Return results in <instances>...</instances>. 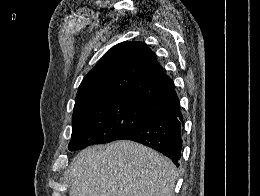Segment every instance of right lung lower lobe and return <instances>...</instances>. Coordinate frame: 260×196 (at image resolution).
Returning a JSON list of instances; mask_svg holds the SVG:
<instances>
[{
  "instance_id": "right-lung-lower-lobe-1",
  "label": "right lung lower lobe",
  "mask_w": 260,
  "mask_h": 196,
  "mask_svg": "<svg viewBox=\"0 0 260 196\" xmlns=\"http://www.w3.org/2000/svg\"><path fill=\"white\" fill-rule=\"evenodd\" d=\"M141 107L152 118L118 140H132L151 147L169 157L178 167L182 154L184 121L174 86L164 94L143 103Z\"/></svg>"
}]
</instances>
